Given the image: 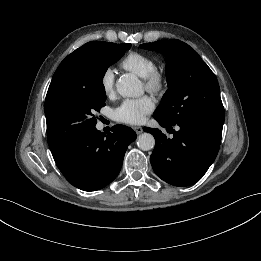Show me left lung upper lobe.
I'll return each instance as SVG.
<instances>
[{"mask_svg": "<svg viewBox=\"0 0 261 261\" xmlns=\"http://www.w3.org/2000/svg\"><path fill=\"white\" fill-rule=\"evenodd\" d=\"M165 56L168 90L154 112L166 124L202 119H224L218 81L199 54L179 40L140 45Z\"/></svg>", "mask_w": 261, "mask_h": 261, "instance_id": "5c2ea615", "label": "left lung upper lobe"}]
</instances>
